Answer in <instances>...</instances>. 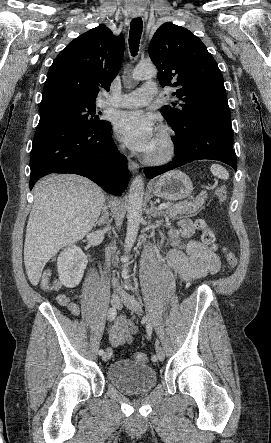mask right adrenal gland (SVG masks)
<instances>
[{
    "label": "right adrenal gland",
    "mask_w": 271,
    "mask_h": 443,
    "mask_svg": "<svg viewBox=\"0 0 271 443\" xmlns=\"http://www.w3.org/2000/svg\"><path fill=\"white\" fill-rule=\"evenodd\" d=\"M104 212H105L104 216H101V218H99L98 222L94 223V227H95V225H104V223H107V220H108L107 210H104Z\"/></svg>",
    "instance_id": "2a0ac1e0"
}]
</instances>
